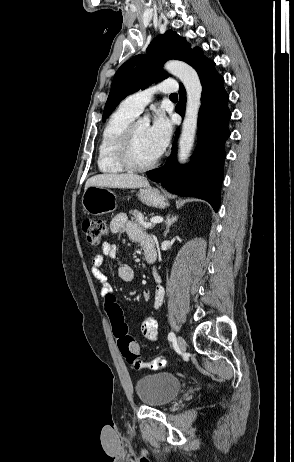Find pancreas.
Listing matches in <instances>:
<instances>
[{"mask_svg": "<svg viewBox=\"0 0 294 462\" xmlns=\"http://www.w3.org/2000/svg\"><path fill=\"white\" fill-rule=\"evenodd\" d=\"M131 219L143 228H152L154 225H148L147 218L139 210L130 211Z\"/></svg>", "mask_w": 294, "mask_h": 462, "instance_id": "obj_1", "label": "pancreas"}]
</instances>
